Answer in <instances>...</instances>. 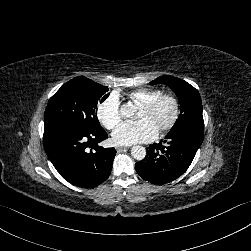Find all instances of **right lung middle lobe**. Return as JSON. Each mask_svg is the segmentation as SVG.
Segmentation results:
<instances>
[{"label":"right lung middle lobe","mask_w":251,"mask_h":251,"mask_svg":"<svg viewBox=\"0 0 251 251\" xmlns=\"http://www.w3.org/2000/svg\"><path fill=\"white\" fill-rule=\"evenodd\" d=\"M108 87L86 77L65 83L48 101L44 122L64 121L84 129L100 126L95 109L108 96Z\"/></svg>","instance_id":"dd1d6c3e"}]
</instances>
